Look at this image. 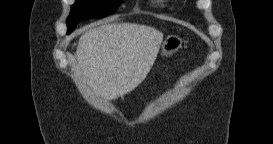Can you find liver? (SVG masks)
I'll return each mask as SVG.
<instances>
[{
  "label": "liver",
  "mask_w": 273,
  "mask_h": 144,
  "mask_svg": "<svg viewBox=\"0 0 273 144\" xmlns=\"http://www.w3.org/2000/svg\"><path fill=\"white\" fill-rule=\"evenodd\" d=\"M163 33L135 23H107L85 31L76 58L95 96L115 100L134 90L153 66Z\"/></svg>",
  "instance_id": "liver-1"
}]
</instances>
